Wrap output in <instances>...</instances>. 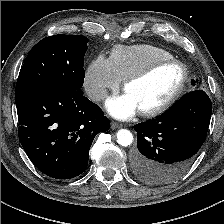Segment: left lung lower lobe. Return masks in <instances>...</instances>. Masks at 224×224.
Here are the masks:
<instances>
[{"mask_svg":"<svg viewBox=\"0 0 224 224\" xmlns=\"http://www.w3.org/2000/svg\"><path fill=\"white\" fill-rule=\"evenodd\" d=\"M211 112L210 98L198 89L165 113L134 125L138 147L133 156L136 177L155 185L181 177L206 139Z\"/></svg>","mask_w":224,"mask_h":224,"instance_id":"0a47b994","label":"left lung lower lobe"}]
</instances>
